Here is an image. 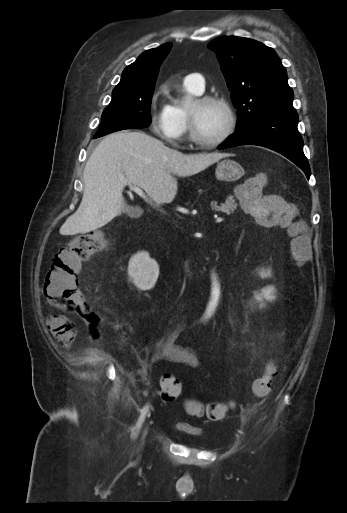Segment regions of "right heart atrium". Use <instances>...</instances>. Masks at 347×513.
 Wrapping results in <instances>:
<instances>
[{
    "mask_svg": "<svg viewBox=\"0 0 347 513\" xmlns=\"http://www.w3.org/2000/svg\"><path fill=\"white\" fill-rule=\"evenodd\" d=\"M151 129L167 143L178 146L180 140L187 131L174 115L169 111L167 105L155 107L151 113Z\"/></svg>",
    "mask_w": 347,
    "mask_h": 513,
    "instance_id": "d8ad5b80",
    "label": "right heart atrium"
}]
</instances>
